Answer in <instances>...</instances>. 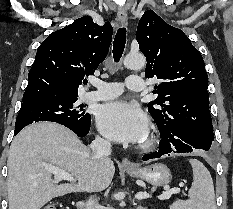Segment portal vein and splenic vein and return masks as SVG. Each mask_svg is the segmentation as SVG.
<instances>
[{"mask_svg":"<svg viewBox=\"0 0 233 209\" xmlns=\"http://www.w3.org/2000/svg\"><path fill=\"white\" fill-rule=\"evenodd\" d=\"M45 168L49 172H51L52 174L55 175V179L57 182H59L61 180H67L69 182L75 181V178L71 174H69L68 172L61 170L55 166L45 164ZM179 192H180V188H171V189L167 190L166 192H164L163 194H161L160 196H158V198L160 200L169 199L172 194H177ZM149 197H150V195L147 194L146 192H140L139 194L136 195V198L138 200L146 199Z\"/></svg>","mask_w":233,"mask_h":209,"instance_id":"obj_1","label":"portal vein and splenic vein"}]
</instances>
